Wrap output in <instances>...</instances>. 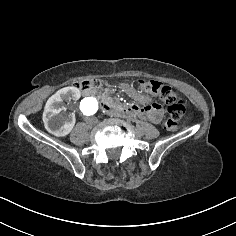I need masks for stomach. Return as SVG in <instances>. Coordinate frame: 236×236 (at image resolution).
Wrapping results in <instances>:
<instances>
[{
  "label": "stomach",
  "instance_id": "obj_1",
  "mask_svg": "<svg viewBox=\"0 0 236 236\" xmlns=\"http://www.w3.org/2000/svg\"><path fill=\"white\" fill-rule=\"evenodd\" d=\"M118 90L120 93L124 94L129 99L135 101L138 104L149 105L153 101V96L151 93L141 91L135 85L130 84L127 81L120 82L118 85Z\"/></svg>",
  "mask_w": 236,
  "mask_h": 236
}]
</instances>
